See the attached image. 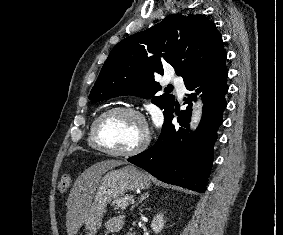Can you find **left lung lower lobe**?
<instances>
[{"mask_svg": "<svg viewBox=\"0 0 283 235\" xmlns=\"http://www.w3.org/2000/svg\"><path fill=\"white\" fill-rule=\"evenodd\" d=\"M228 70L225 62L185 82L192 93L185 98L187 110L176 109L165 120L157 142L148 150L128 159L157 179L196 192H205L213 162V146L217 130L222 124L226 108L225 94ZM203 91V115L197 130L189 134L192 101ZM178 115L180 127L172 124L173 113Z\"/></svg>", "mask_w": 283, "mask_h": 235, "instance_id": "0a47b994", "label": "left lung lower lobe"}]
</instances>
